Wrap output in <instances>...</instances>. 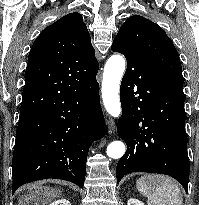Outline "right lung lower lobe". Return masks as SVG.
I'll use <instances>...</instances> for the list:
<instances>
[{
  "label": "right lung lower lobe",
  "instance_id": "98d812e1",
  "mask_svg": "<svg viewBox=\"0 0 199 205\" xmlns=\"http://www.w3.org/2000/svg\"><path fill=\"white\" fill-rule=\"evenodd\" d=\"M104 134L96 78L20 119L12 161V194L23 184L48 178L83 188L89 148Z\"/></svg>",
  "mask_w": 199,
  "mask_h": 205
}]
</instances>
